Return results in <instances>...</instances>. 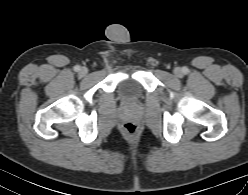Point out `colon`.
Here are the masks:
<instances>
[{"label": "colon", "mask_w": 248, "mask_h": 195, "mask_svg": "<svg viewBox=\"0 0 248 195\" xmlns=\"http://www.w3.org/2000/svg\"><path fill=\"white\" fill-rule=\"evenodd\" d=\"M123 129L128 136H135L137 134V126L133 123H126Z\"/></svg>", "instance_id": "5ec220e1"}]
</instances>
